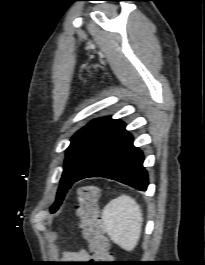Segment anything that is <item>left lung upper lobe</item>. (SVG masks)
Listing matches in <instances>:
<instances>
[{"mask_svg":"<svg viewBox=\"0 0 205 265\" xmlns=\"http://www.w3.org/2000/svg\"><path fill=\"white\" fill-rule=\"evenodd\" d=\"M124 129L125 124L121 121L102 117L88 123L71 138L57 198L50 208L51 212H55L59 208L74 179L86 165Z\"/></svg>","mask_w":205,"mask_h":265,"instance_id":"1","label":"left lung upper lobe"}]
</instances>
